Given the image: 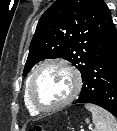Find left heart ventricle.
Here are the masks:
<instances>
[{
  "instance_id": "1",
  "label": "left heart ventricle",
  "mask_w": 117,
  "mask_h": 131,
  "mask_svg": "<svg viewBox=\"0 0 117 131\" xmlns=\"http://www.w3.org/2000/svg\"><path fill=\"white\" fill-rule=\"evenodd\" d=\"M73 79L61 66H48L37 74L33 83L35 99L44 107L62 102L71 93Z\"/></svg>"
}]
</instances>
